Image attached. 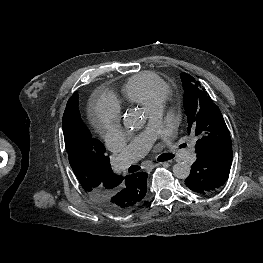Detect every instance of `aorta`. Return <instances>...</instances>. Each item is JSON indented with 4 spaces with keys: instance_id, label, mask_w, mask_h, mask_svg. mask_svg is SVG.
Wrapping results in <instances>:
<instances>
[{
    "instance_id": "762f6f07",
    "label": "aorta",
    "mask_w": 263,
    "mask_h": 263,
    "mask_svg": "<svg viewBox=\"0 0 263 263\" xmlns=\"http://www.w3.org/2000/svg\"><path fill=\"white\" fill-rule=\"evenodd\" d=\"M124 126L129 130L140 129L143 125L142 116L136 110H128L124 115ZM190 166L186 162H177L173 166V175L179 179H185L190 174Z\"/></svg>"
}]
</instances>
